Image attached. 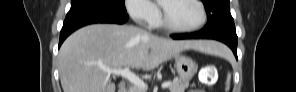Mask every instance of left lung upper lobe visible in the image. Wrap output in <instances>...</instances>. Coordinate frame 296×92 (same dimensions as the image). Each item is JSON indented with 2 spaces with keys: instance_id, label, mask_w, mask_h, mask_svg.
Returning a JSON list of instances; mask_svg holds the SVG:
<instances>
[{
  "instance_id": "left-lung-upper-lobe-1",
  "label": "left lung upper lobe",
  "mask_w": 296,
  "mask_h": 92,
  "mask_svg": "<svg viewBox=\"0 0 296 92\" xmlns=\"http://www.w3.org/2000/svg\"><path fill=\"white\" fill-rule=\"evenodd\" d=\"M208 15V22L202 31L214 34L222 31H235L230 13L229 0H202Z\"/></svg>"
}]
</instances>
